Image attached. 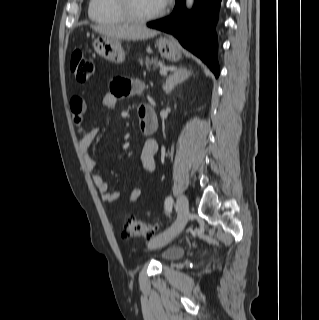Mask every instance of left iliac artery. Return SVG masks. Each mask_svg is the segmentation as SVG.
Listing matches in <instances>:
<instances>
[{
	"instance_id": "44dca946",
	"label": "left iliac artery",
	"mask_w": 319,
	"mask_h": 320,
	"mask_svg": "<svg viewBox=\"0 0 319 320\" xmlns=\"http://www.w3.org/2000/svg\"><path fill=\"white\" fill-rule=\"evenodd\" d=\"M173 198L171 196L167 197L165 200V209L170 212L172 210Z\"/></svg>"
}]
</instances>
